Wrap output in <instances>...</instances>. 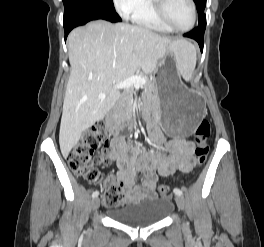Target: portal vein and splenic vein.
<instances>
[{"label": "portal vein and splenic vein", "mask_w": 264, "mask_h": 247, "mask_svg": "<svg viewBox=\"0 0 264 247\" xmlns=\"http://www.w3.org/2000/svg\"><path fill=\"white\" fill-rule=\"evenodd\" d=\"M146 83V79L144 77L141 76H131L127 79H125L124 81L118 83L117 85H115V89H125V88H129L131 86H134L136 88H139L140 86L144 85ZM99 99L103 100L105 99L106 95L104 93L99 94Z\"/></svg>", "instance_id": "18ae733b"}]
</instances>
